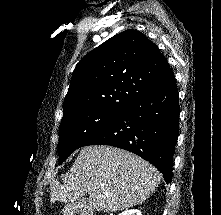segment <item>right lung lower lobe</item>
Here are the masks:
<instances>
[{"mask_svg": "<svg viewBox=\"0 0 221 215\" xmlns=\"http://www.w3.org/2000/svg\"><path fill=\"white\" fill-rule=\"evenodd\" d=\"M179 96L172 74L160 87L122 110L117 119L88 139L87 145H111L152 163L167 183L179 133Z\"/></svg>", "mask_w": 221, "mask_h": 215, "instance_id": "1", "label": "right lung lower lobe"}]
</instances>
